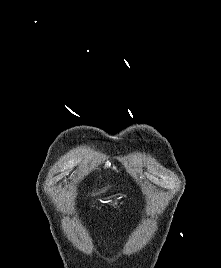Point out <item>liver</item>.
I'll use <instances>...</instances> for the list:
<instances>
[{
	"mask_svg": "<svg viewBox=\"0 0 221 268\" xmlns=\"http://www.w3.org/2000/svg\"><path fill=\"white\" fill-rule=\"evenodd\" d=\"M107 188L103 189L101 192H104Z\"/></svg>",
	"mask_w": 221,
	"mask_h": 268,
	"instance_id": "6515ba94",
	"label": "liver"
}]
</instances>
